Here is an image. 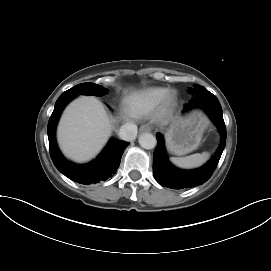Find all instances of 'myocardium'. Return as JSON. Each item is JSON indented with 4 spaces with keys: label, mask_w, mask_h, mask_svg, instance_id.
<instances>
[{
    "label": "myocardium",
    "mask_w": 271,
    "mask_h": 271,
    "mask_svg": "<svg viewBox=\"0 0 271 271\" xmlns=\"http://www.w3.org/2000/svg\"><path fill=\"white\" fill-rule=\"evenodd\" d=\"M178 102V97L175 91L168 90L157 105V114L160 117L168 116L173 112Z\"/></svg>",
    "instance_id": "myocardium-1"
}]
</instances>
